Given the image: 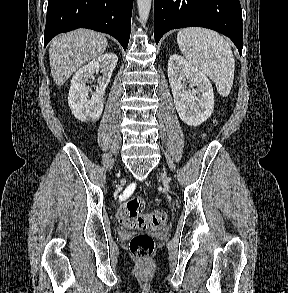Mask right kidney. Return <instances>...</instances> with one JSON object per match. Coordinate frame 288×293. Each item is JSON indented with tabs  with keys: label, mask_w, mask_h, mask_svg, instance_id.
I'll return each mask as SVG.
<instances>
[{
	"label": "right kidney",
	"mask_w": 288,
	"mask_h": 293,
	"mask_svg": "<svg viewBox=\"0 0 288 293\" xmlns=\"http://www.w3.org/2000/svg\"><path fill=\"white\" fill-rule=\"evenodd\" d=\"M117 62L116 54L106 53L75 72L71 80L68 104L77 119L96 121L100 117L103 111V95ZM99 71L102 73V76L98 79L99 86L90 98L88 96L89 86H86V83L95 72Z\"/></svg>",
	"instance_id": "1"
}]
</instances>
